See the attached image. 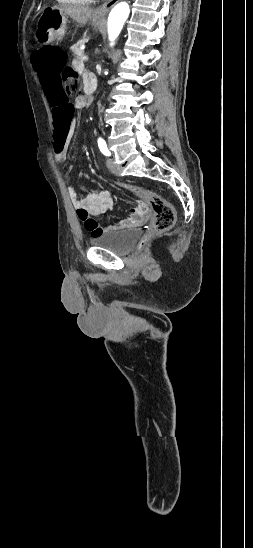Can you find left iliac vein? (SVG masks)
<instances>
[{
	"mask_svg": "<svg viewBox=\"0 0 253 548\" xmlns=\"http://www.w3.org/2000/svg\"><path fill=\"white\" fill-rule=\"evenodd\" d=\"M106 165H107V167L109 168V170L111 172H113L114 174H118V169H117V166L115 164L114 159L108 158L107 161H106Z\"/></svg>",
	"mask_w": 253,
	"mask_h": 548,
	"instance_id": "left-iliac-vein-1",
	"label": "left iliac vein"
}]
</instances>
